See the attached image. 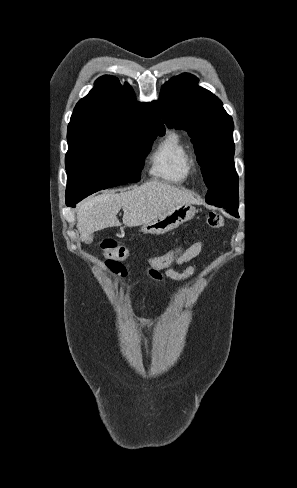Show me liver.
<instances>
[{
    "label": "liver",
    "instance_id": "6515ba94",
    "mask_svg": "<svg viewBox=\"0 0 297 488\" xmlns=\"http://www.w3.org/2000/svg\"><path fill=\"white\" fill-rule=\"evenodd\" d=\"M196 202L192 194L153 180L131 191L105 192L84 200L78 206L77 228L81 240L91 242L89 238L94 232L121 225L117 218L121 208L123 223L133 227L149 223L176 205Z\"/></svg>",
    "mask_w": 297,
    "mask_h": 488
}]
</instances>
